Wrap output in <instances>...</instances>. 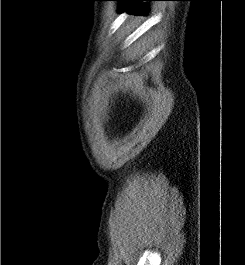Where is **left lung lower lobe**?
<instances>
[{"instance_id": "left-lung-lower-lobe-1", "label": "left lung lower lobe", "mask_w": 245, "mask_h": 265, "mask_svg": "<svg viewBox=\"0 0 245 265\" xmlns=\"http://www.w3.org/2000/svg\"><path fill=\"white\" fill-rule=\"evenodd\" d=\"M112 1H120L123 2V6L121 11L127 10L132 14H146L148 12V6L146 4H137V2L141 1H159V0H112Z\"/></svg>"}]
</instances>
